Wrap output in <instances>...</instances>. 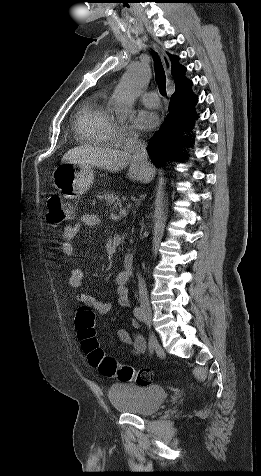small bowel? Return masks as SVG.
<instances>
[{"label":"small bowel","instance_id":"1","mask_svg":"<svg viewBox=\"0 0 261 476\" xmlns=\"http://www.w3.org/2000/svg\"><path fill=\"white\" fill-rule=\"evenodd\" d=\"M100 224V218L96 214H84L82 215L74 225L67 226L63 233V242L61 243V251L69 257L74 256V247L71 241L75 238L77 233L85 227H96ZM83 271L79 267H75L71 270L68 285L78 291L83 285ZM127 275L125 272H120L116 277L115 295L113 300H98L94 297L78 292L76 299L83 305L90 306L94 311L101 315L108 314L113 306L116 304L123 308H129L131 303L128 297V290L126 288ZM133 327H138V323L135 320L131 321ZM117 334L120 340L126 344H130L134 347V353L139 354L144 351L146 343L144 338L139 334H131L124 328H119Z\"/></svg>","mask_w":261,"mask_h":476}]
</instances>
